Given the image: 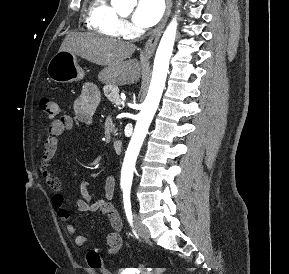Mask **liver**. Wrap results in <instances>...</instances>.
Masks as SVG:
<instances>
[{
	"instance_id": "liver-1",
	"label": "liver",
	"mask_w": 289,
	"mask_h": 274,
	"mask_svg": "<svg viewBox=\"0 0 289 274\" xmlns=\"http://www.w3.org/2000/svg\"><path fill=\"white\" fill-rule=\"evenodd\" d=\"M135 49L136 46L132 43L99 37L94 33L70 32L59 51H69L92 63L105 66L99 74L102 82L127 85L135 83L140 77L138 61L128 59Z\"/></svg>"
}]
</instances>
